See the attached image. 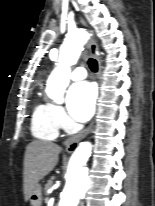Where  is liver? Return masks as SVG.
Listing matches in <instances>:
<instances>
[{"instance_id": "6515ba94", "label": "liver", "mask_w": 155, "mask_h": 206, "mask_svg": "<svg viewBox=\"0 0 155 206\" xmlns=\"http://www.w3.org/2000/svg\"><path fill=\"white\" fill-rule=\"evenodd\" d=\"M61 147L51 142L33 141L24 156V197L29 200L38 182L49 174L58 163Z\"/></svg>"}]
</instances>
